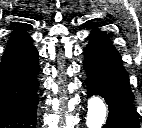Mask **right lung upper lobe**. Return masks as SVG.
Here are the masks:
<instances>
[{
    "instance_id": "obj_1",
    "label": "right lung upper lobe",
    "mask_w": 142,
    "mask_h": 128,
    "mask_svg": "<svg viewBox=\"0 0 142 128\" xmlns=\"http://www.w3.org/2000/svg\"><path fill=\"white\" fill-rule=\"evenodd\" d=\"M31 43V38L21 28H17L8 41L3 58L8 57L24 49Z\"/></svg>"
}]
</instances>
